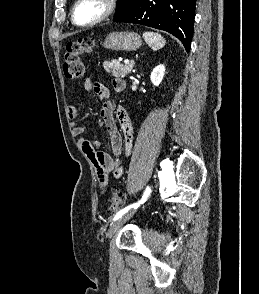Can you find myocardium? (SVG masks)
I'll return each mask as SVG.
<instances>
[{
    "label": "myocardium",
    "instance_id": "f54148a6",
    "mask_svg": "<svg viewBox=\"0 0 259 294\" xmlns=\"http://www.w3.org/2000/svg\"><path fill=\"white\" fill-rule=\"evenodd\" d=\"M83 0H76L72 9H71V21L74 25L82 28H88L95 26L99 23H102L103 21L110 18L117 10L118 8V0H103L105 4V9L103 13L95 20L88 22V23H78L76 20V11L78 6Z\"/></svg>",
    "mask_w": 259,
    "mask_h": 294
}]
</instances>
